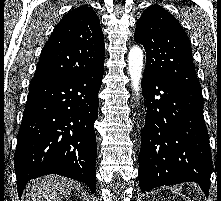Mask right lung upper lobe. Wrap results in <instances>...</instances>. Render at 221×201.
I'll return each mask as SVG.
<instances>
[{
    "instance_id": "obj_1",
    "label": "right lung upper lobe",
    "mask_w": 221,
    "mask_h": 201,
    "mask_svg": "<svg viewBox=\"0 0 221 201\" xmlns=\"http://www.w3.org/2000/svg\"><path fill=\"white\" fill-rule=\"evenodd\" d=\"M104 35L88 6L71 10L42 49L33 78H69L103 70Z\"/></svg>"
}]
</instances>
